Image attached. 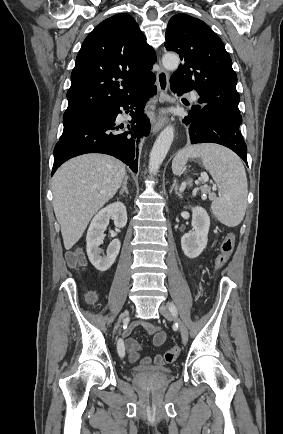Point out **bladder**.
Returning <instances> with one entry per match:
<instances>
[{"label":"bladder","instance_id":"bladder-1","mask_svg":"<svg viewBox=\"0 0 283 434\" xmlns=\"http://www.w3.org/2000/svg\"><path fill=\"white\" fill-rule=\"evenodd\" d=\"M132 372L135 375L161 377V376H165L170 371L167 368L134 367V368H132Z\"/></svg>","mask_w":283,"mask_h":434}]
</instances>
